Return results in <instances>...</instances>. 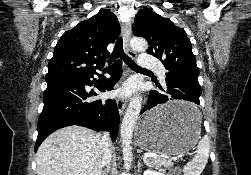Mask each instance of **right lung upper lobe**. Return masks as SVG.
Segmentation results:
<instances>
[{"mask_svg":"<svg viewBox=\"0 0 251 175\" xmlns=\"http://www.w3.org/2000/svg\"><path fill=\"white\" fill-rule=\"evenodd\" d=\"M120 34L117 17L102 10L66 31L58 41L48 64L46 81L89 75L100 69L110 53L108 44Z\"/></svg>","mask_w":251,"mask_h":175,"instance_id":"1","label":"right lung upper lobe"}]
</instances>
